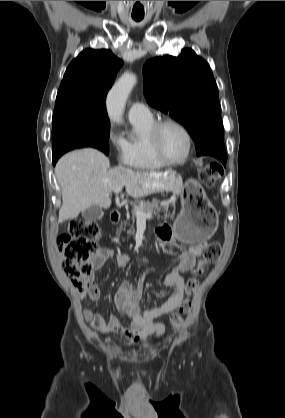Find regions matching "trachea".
<instances>
[{"mask_svg": "<svg viewBox=\"0 0 285 418\" xmlns=\"http://www.w3.org/2000/svg\"><path fill=\"white\" fill-rule=\"evenodd\" d=\"M142 18H143V17H140V16H133V19H134L135 21H140V20H142Z\"/></svg>", "mask_w": 285, "mask_h": 418, "instance_id": "trachea-1", "label": "trachea"}]
</instances>
